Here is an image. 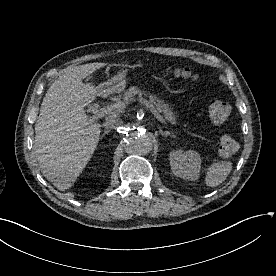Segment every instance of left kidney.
Segmentation results:
<instances>
[{
  "label": "left kidney",
  "instance_id": "1",
  "mask_svg": "<svg viewBox=\"0 0 276 276\" xmlns=\"http://www.w3.org/2000/svg\"><path fill=\"white\" fill-rule=\"evenodd\" d=\"M169 160L174 175L191 181L199 178L201 157L196 151L173 150Z\"/></svg>",
  "mask_w": 276,
  "mask_h": 276
}]
</instances>
